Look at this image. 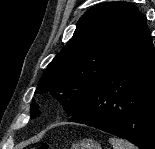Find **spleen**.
Returning a JSON list of instances; mask_svg holds the SVG:
<instances>
[{"label":"spleen","mask_w":155,"mask_h":149,"mask_svg":"<svg viewBox=\"0 0 155 149\" xmlns=\"http://www.w3.org/2000/svg\"><path fill=\"white\" fill-rule=\"evenodd\" d=\"M109 142L112 144L113 149H138L135 145L120 138L111 137Z\"/></svg>","instance_id":"spleen-1"}]
</instances>
